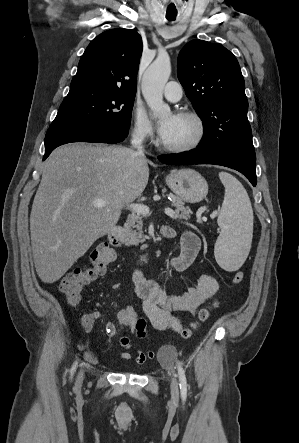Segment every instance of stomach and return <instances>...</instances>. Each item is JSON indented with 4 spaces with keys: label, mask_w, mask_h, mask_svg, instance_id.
Returning <instances> with one entry per match:
<instances>
[{
    "label": "stomach",
    "mask_w": 299,
    "mask_h": 443,
    "mask_svg": "<svg viewBox=\"0 0 299 443\" xmlns=\"http://www.w3.org/2000/svg\"><path fill=\"white\" fill-rule=\"evenodd\" d=\"M166 183L177 197L188 203L200 202L208 193L206 180L191 168L172 171L166 177Z\"/></svg>",
    "instance_id": "obj_1"
}]
</instances>
